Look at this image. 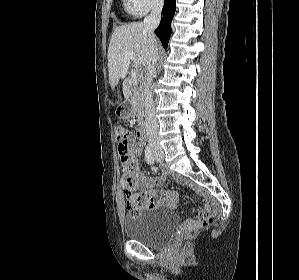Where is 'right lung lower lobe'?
Listing matches in <instances>:
<instances>
[{"label":"right lung lower lobe","mask_w":299,"mask_h":280,"mask_svg":"<svg viewBox=\"0 0 299 280\" xmlns=\"http://www.w3.org/2000/svg\"><path fill=\"white\" fill-rule=\"evenodd\" d=\"M175 3L176 0H165L164 7L162 9L161 22L158 28L155 30V33L161 40L164 48H167L171 35V21L175 14Z\"/></svg>","instance_id":"1"}]
</instances>
